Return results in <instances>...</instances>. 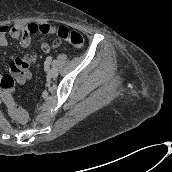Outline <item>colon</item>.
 Here are the masks:
<instances>
[{"label": "colon", "mask_w": 172, "mask_h": 172, "mask_svg": "<svg viewBox=\"0 0 172 172\" xmlns=\"http://www.w3.org/2000/svg\"><path fill=\"white\" fill-rule=\"evenodd\" d=\"M37 31L47 32L48 28L38 27L34 24L28 25L23 30L22 33L23 40H26L28 37H30L32 34H34ZM55 32L60 39L70 43L75 47H81L84 44L83 36L75 30H70L67 27L61 26L58 27L55 30ZM15 75H16V70L11 68L10 74L4 75L0 78V97L1 100L4 102V104L6 105L11 117L18 122H25L27 119V113L23 108H21L15 102L13 98L14 87H15Z\"/></svg>", "instance_id": "colon-1"}]
</instances>
